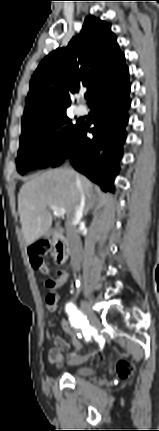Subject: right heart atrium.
Here are the masks:
<instances>
[{"label":"right heart atrium","instance_id":"right-heart-atrium-1","mask_svg":"<svg viewBox=\"0 0 159 431\" xmlns=\"http://www.w3.org/2000/svg\"><path fill=\"white\" fill-rule=\"evenodd\" d=\"M57 146V135L56 133L49 134L45 139V148L47 152L53 153Z\"/></svg>","mask_w":159,"mask_h":431}]
</instances>
